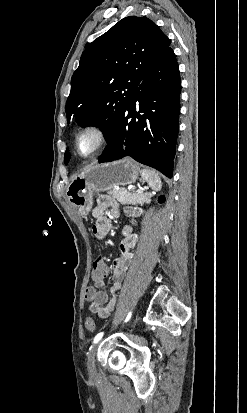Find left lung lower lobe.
<instances>
[{
    "label": "left lung lower lobe",
    "mask_w": 247,
    "mask_h": 413,
    "mask_svg": "<svg viewBox=\"0 0 247 413\" xmlns=\"http://www.w3.org/2000/svg\"><path fill=\"white\" fill-rule=\"evenodd\" d=\"M180 92L179 67L170 47L140 82L107 140L99 163L129 156L172 178Z\"/></svg>",
    "instance_id": "obj_1"
}]
</instances>
